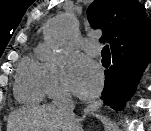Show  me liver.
I'll return each mask as SVG.
<instances>
[{"mask_svg":"<svg viewBox=\"0 0 151 131\" xmlns=\"http://www.w3.org/2000/svg\"><path fill=\"white\" fill-rule=\"evenodd\" d=\"M7 131L82 130L73 113L69 114L52 104H48L16 111L9 118Z\"/></svg>","mask_w":151,"mask_h":131,"instance_id":"liver-1","label":"liver"}]
</instances>
